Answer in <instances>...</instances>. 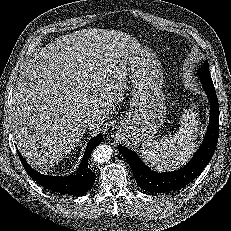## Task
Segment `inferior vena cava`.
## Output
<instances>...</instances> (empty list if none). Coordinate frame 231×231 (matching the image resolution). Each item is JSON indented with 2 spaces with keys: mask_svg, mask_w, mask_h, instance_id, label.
Listing matches in <instances>:
<instances>
[{
  "mask_svg": "<svg viewBox=\"0 0 231 231\" xmlns=\"http://www.w3.org/2000/svg\"><path fill=\"white\" fill-rule=\"evenodd\" d=\"M86 124L88 127H91V126L92 127H96V126L99 127L103 124V122L100 120H96V119H89L86 121Z\"/></svg>",
  "mask_w": 231,
  "mask_h": 231,
  "instance_id": "inferior-vena-cava-1",
  "label": "inferior vena cava"
}]
</instances>
